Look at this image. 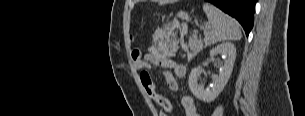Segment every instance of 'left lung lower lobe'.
<instances>
[{"instance_id":"0a47b994","label":"left lung lower lobe","mask_w":305,"mask_h":116,"mask_svg":"<svg viewBox=\"0 0 305 116\" xmlns=\"http://www.w3.org/2000/svg\"><path fill=\"white\" fill-rule=\"evenodd\" d=\"M236 18L248 36L253 27L256 0H206Z\"/></svg>"}]
</instances>
